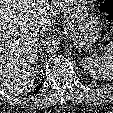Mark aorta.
<instances>
[{"mask_svg":"<svg viewBox=\"0 0 113 113\" xmlns=\"http://www.w3.org/2000/svg\"><path fill=\"white\" fill-rule=\"evenodd\" d=\"M61 47V38L56 35H50L43 41V48L48 53H56Z\"/></svg>","mask_w":113,"mask_h":113,"instance_id":"aorta-1","label":"aorta"}]
</instances>
